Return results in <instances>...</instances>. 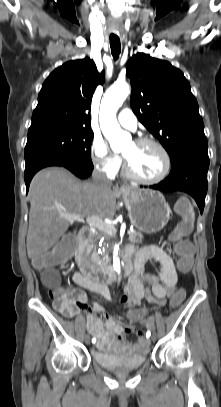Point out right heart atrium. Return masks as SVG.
Returning <instances> with one entry per match:
<instances>
[{
	"label": "right heart atrium",
	"mask_w": 221,
	"mask_h": 407,
	"mask_svg": "<svg viewBox=\"0 0 221 407\" xmlns=\"http://www.w3.org/2000/svg\"><path fill=\"white\" fill-rule=\"evenodd\" d=\"M91 159L94 167L108 177L115 176L122 165L121 157L111 152L105 142L99 138L92 142Z\"/></svg>",
	"instance_id": "obj_1"
}]
</instances>
